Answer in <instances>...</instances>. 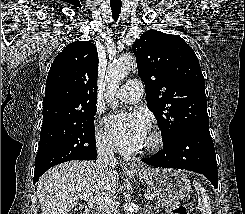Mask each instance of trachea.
Masks as SVG:
<instances>
[{"label":"trachea","instance_id":"trachea-1","mask_svg":"<svg viewBox=\"0 0 245 214\" xmlns=\"http://www.w3.org/2000/svg\"><path fill=\"white\" fill-rule=\"evenodd\" d=\"M121 3L118 4H110L111 10H112V16L115 21H117L119 14L121 12Z\"/></svg>","mask_w":245,"mask_h":214}]
</instances>
